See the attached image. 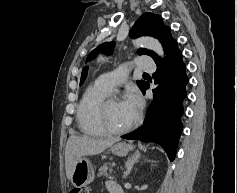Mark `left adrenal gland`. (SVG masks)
Listing matches in <instances>:
<instances>
[{
	"mask_svg": "<svg viewBox=\"0 0 237 193\" xmlns=\"http://www.w3.org/2000/svg\"><path fill=\"white\" fill-rule=\"evenodd\" d=\"M140 154L138 151H136L132 156L128 158V160L125 163L126 170L123 174V178L125 179L131 172L133 165L137 162H139Z\"/></svg>",
	"mask_w": 237,
	"mask_h": 193,
	"instance_id": "a2214340",
	"label": "left adrenal gland"
}]
</instances>
